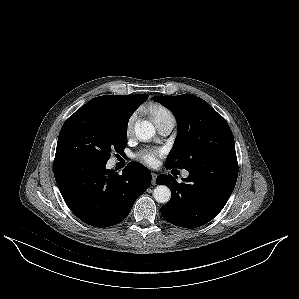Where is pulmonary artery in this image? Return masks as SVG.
Returning a JSON list of instances; mask_svg holds the SVG:
<instances>
[{
    "mask_svg": "<svg viewBox=\"0 0 299 299\" xmlns=\"http://www.w3.org/2000/svg\"><path fill=\"white\" fill-rule=\"evenodd\" d=\"M174 126H175L174 117L161 120L157 123V129H158L159 133L163 136L168 135L173 130ZM188 175L189 174L187 171H184L182 173V176L185 178L188 177Z\"/></svg>",
    "mask_w": 299,
    "mask_h": 299,
    "instance_id": "pulmonary-artery-1",
    "label": "pulmonary artery"
}]
</instances>
